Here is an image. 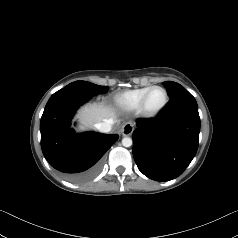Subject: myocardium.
I'll return each instance as SVG.
<instances>
[{
	"label": "myocardium",
	"instance_id": "obj_1",
	"mask_svg": "<svg viewBox=\"0 0 238 238\" xmlns=\"http://www.w3.org/2000/svg\"><path fill=\"white\" fill-rule=\"evenodd\" d=\"M156 89L162 90L164 92L165 98H164L163 104L159 108L151 110V109L148 108L147 102H148V98H149L150 94L152 93V91H154ZM168 101H169L168 92L164 87H162V86H152L144 94L138 109H139V112L144 117L153 118V117L158 116L166 108V106L168 104Z\"/></svg>",
	"mask_w": 238,
	"mask_h": 238
}]
</instances>
